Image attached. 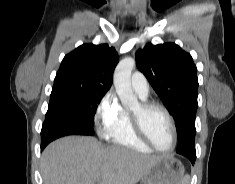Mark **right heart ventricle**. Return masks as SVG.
Instances as JSON below:
<instances>
[{"label":"right heart ventricle","mask_w":235,"mask_h":184,"mask_svg":"<svg viewBox=\"0 0 235 184\" xmlns=\"http://www.w3.org/2000/svg\"><path fill=\"white\" fill-rule=\"evenodd\" d=\"M110 152L117 155L120 152L150 153L149 146L140 139L133 130V125L129 114L125 111V117L118 130L112 137L108 145Z\"/></svg>","instance_id":"obj_1"}]
</instances>
